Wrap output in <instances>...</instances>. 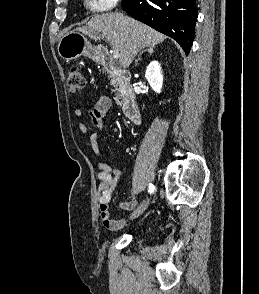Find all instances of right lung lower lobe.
Segmentation results:
<instances>
[{
	"instance_id": "98d812e1",
	"label": "right lung lower lobe",
	"mask_w": 259,
	"mask_h": 294,
	"mask_svg": "<svg viewBox=\"0 0 259 294\" xmlns=\"http://www.w3.org/2000/svg\"><path fill=\"white\" fill-rule=\"evenodd\" d=\"M133 18L175 39L186 54L195 35L196 0H122Z\"/></svg>"
}]
</instances>
